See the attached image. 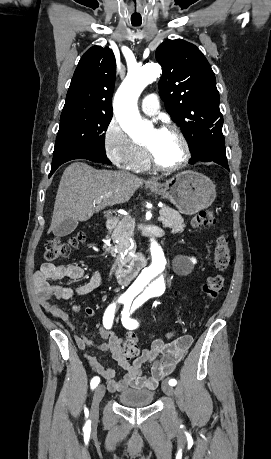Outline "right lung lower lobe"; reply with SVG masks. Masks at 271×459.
<instances>
[{"label":"right lung lower lobe","instance_id":"1","mask_svg":"<svg viewBox=\"0 0 271 459\" xmlns=\"http://www.w3.org/2000/svg\"><path fill=\"white\" fill-rule=\"evenodd\" d=\"M73 159H87L93 162H100L104 164H111L106 157L105 152L95 151L85 148H74L69 149L65 152L57 154L53 157L52 167L49 177L55 172V170L63 163Z\"/></svg>","mask_w":271,"mask_h":459}]
</instances>
